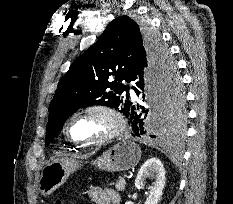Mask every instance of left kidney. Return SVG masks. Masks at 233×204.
Here are the masks:
<instances>
[{"label": "left kidney", "mask_w": 233, "mask_h": 204, "mask_svg": "<svg viewBox=\"0 0 233 204\" xmlns=\"http://www.w3.org/2000/svg\"><path fill=\"white\" fill-rule=\"evenodd\" d=\"M147 178L153 180L149 187V196L144 204H158L163 195L165 186V169L161 161L155 157L148 159L140 168L135 179V187L141 189L145 185ZM125 204H134L132 201H127Z\"/></svg>", "instance_id": "5707ae66"}]
</instances>
